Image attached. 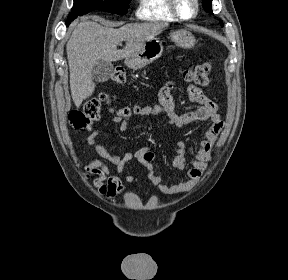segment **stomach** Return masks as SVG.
Wrapping results in <instances>:
<instances>
[{"label": "stomach", "mask_w": 288, "mask_h": 280, "mask_svg": "<svg viewBox=\"0 0 288 280\" xmlns=\"http://www.w3.org/2000/svg\"><path fill=\"white\" fill-rule=\"evenodd\" d=\"M171 41L178 47L190 49L195 45V37L185 29L173 31L170 34ZM163 53L162 42L158 38L146 41L134 54L125 59V64L133 69H141L152 63Z\"/></svg>", "instance_id": "stomach-1"}]
</instances>
